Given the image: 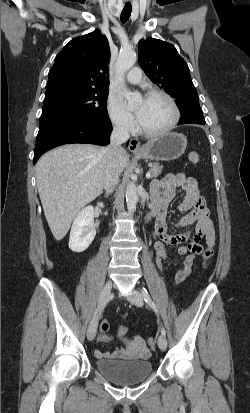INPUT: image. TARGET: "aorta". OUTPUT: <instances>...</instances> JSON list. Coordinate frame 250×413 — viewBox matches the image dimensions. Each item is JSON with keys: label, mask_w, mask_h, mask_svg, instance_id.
I'll list each match as a JSON object with an SVG mask.
<instances>
[{"label": "aorta", "mask_w": 250, "mask_h": 413, "mask_svg": "<svg viewBox=\"0 0 250 413\" xmlns=\"http://www.w3.org/2000/svg\"><path fill=\"white\" fill-rule=\"evenodd\" d=\"M137 60L136 53L133 51H123L118 55L115 64L116 83L121 93L127 98L128 105L133 106L141 96L139 93L130 92L125 85V73L135 64ZM138 202L137 188L134 182H130L126 188V203L128 212L131 214L135 211Z\"/></svg>", "instance_id": "aorta-1"}]
</instances>
